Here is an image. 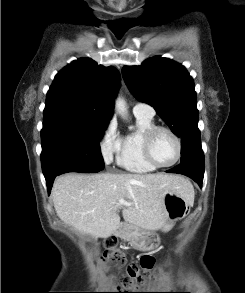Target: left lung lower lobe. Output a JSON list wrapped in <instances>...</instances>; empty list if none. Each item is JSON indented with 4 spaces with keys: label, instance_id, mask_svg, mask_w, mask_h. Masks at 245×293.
<instances>
[{
    "label": "left lung lower lobe",
    "instance_id": "left-lung-lower-lobe-1",
    "mask_svg": "<svg viewBox=\"0 0 245 293\" xmlns=\"http://www.w3.org/2000/svg\"><path fill=\"white\" fill-rule=\"evenodd\" d=\"M166 172L186 175L193 179L200 187H202L204 166L202 167L192 163H181Z\"/></svg>",
    "mask_w": 245,
    "mask_h": 293
}]
</instances>
